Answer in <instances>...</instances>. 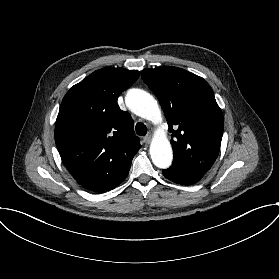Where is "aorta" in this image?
Listing matches in <instances>:
<instances>
[{"label":"aorta","mask_w":279,"mask_h":279,"mask_svg":"<svg viewBox=\"0 0 279 279\" xmlns=\"http://www.w3.org/2000/svg\"><path fill=\"white\" fill-rule=\"evenodd\" d=\"M127 107L137 116L157 124L162 121L161 110L152 95L141 89H131L126 97ZM150 156L155 166L168 168L173 160L170 141L164 131H158L150 145Z\"/></svg>","instance_id":"aorta-1"}]
</instances>
